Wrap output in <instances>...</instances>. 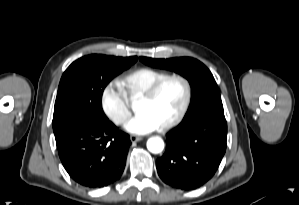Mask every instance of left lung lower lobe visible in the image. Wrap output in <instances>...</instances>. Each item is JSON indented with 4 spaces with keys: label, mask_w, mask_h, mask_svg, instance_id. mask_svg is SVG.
I'll return each mask as SVG.
<instances>
[{
    "label": "left lung lower lobe",
    "mask_w": 299,
    "mask_h": 205,
    "mask_svg": "<svg viewBox=\"0 0 299 205\" xmlns=\"http://www.w3.org/2000/svg\"><path fill=\"white\" fill-rule=\"evenodd\" d=\"M166 137L167 150L156 161L160 178L177 189L199 188L215 174L226 151L224 111L182 120Z\"/></svg>",
    "instance_id": "1"
}]
</instances>
